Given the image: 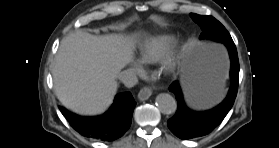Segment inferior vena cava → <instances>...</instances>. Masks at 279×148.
I'll use <instances>...</instances> for the list:
<instances>
[{"mask_svg": "<svg viewBox=\"0 0 279 148\" xmlns=\"http://www.w3.org/2000/svg\"><path fill=\"white\" fill-rule=\"evenodd\" d=\"M119 80L128 88L138 83V78L132 70H124L118 75Z\"/></svg>", "mask_w": 279, "mask_h": 148, "instance_id": "602c4592", "label": "inferior vena cava"}]
</instances>
